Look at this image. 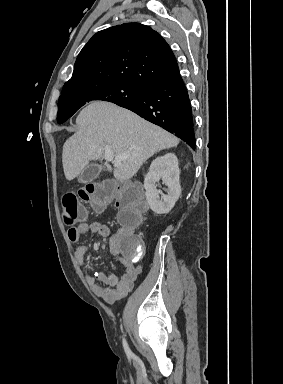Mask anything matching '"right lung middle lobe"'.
I'll return each instance as SVG.
<instances>
[{"label":"right lung middle lobe","instance_id":"dd1d6c3e","mask_svg":"<svg viewBox=\"0 0 283 384\" xmlns=\"http://www.w3.org/2000/svg\"><path fill=\"white\" fill-rule=\"evenodd\" d=\"M145 88L133 83L111 81L81 87L63 88L58 100L57 122L68 120L79 108L93 100L109 101L115 104L140 98Z\"/></svg>","mask_w":283,"mask_h":384}]
</instances>
